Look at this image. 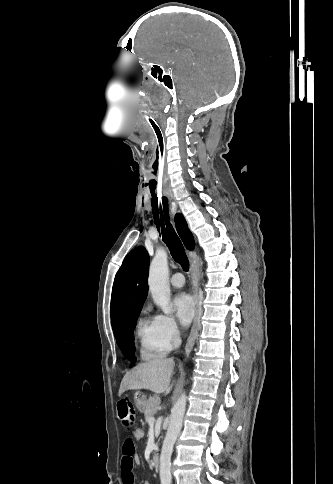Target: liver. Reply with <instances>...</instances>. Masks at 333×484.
<instances>
[{
    "instance_id": "obj_1",
    "label": "liver",
    "mask_w": 333,
    "mask_h": 484,
    "mask_svg": "<svg viewBox=\"0 0 333 484\" xmlns=\"http://www.w3.org/2000/svg\"><path fill=\"white\" fill-rule=\"evenodd\" d=\"M175 366L173 358L153 359L140 363L127 372L120 384L119 397L127 390L147 389L165 395L172 390L171 375Z\"/></svg>"
}]
</instances>
